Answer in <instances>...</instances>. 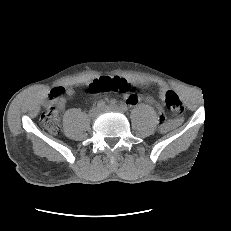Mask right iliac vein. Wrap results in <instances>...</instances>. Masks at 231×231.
<instances>
[{"instance_id": "1", "label": "right iliac vein", "mask_w": 231, "mask_h": 231, "mask_svg": "<svg viewBox=\"0 0 231 231\" xmlns=\"http://www.w3.org/2000/svg\"><path fill=\"white\" fill-rule=\"evenodd\" d=\"M100 109L98 107H94L89 111V115L91 118H95L99 115Z\"/></svg>"}]
</instances>
